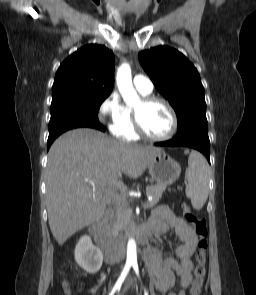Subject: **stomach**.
Instances as JSON below:
<instances>
[{
	"instance_id": "obj_1",
	"label": "stomach",
	"mask_w": 256,
	"mask_h": 295,
	"mask_svg": "<svg viewBox=\"0 0 256 295\" xmlns=\"http://www.w3.org/2000/svg\"><path fill=\"white\" fill-rule=\"evenodd\" d=\"M149 173L159 185H171L181 174V166L165 152H159L148 165Z\"/></svg>"
}]
</instances>
